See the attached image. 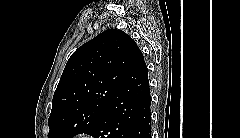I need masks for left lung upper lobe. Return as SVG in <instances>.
<instances>
[{
  "mask_svg": "<svg viewBox=\"0 0 240 138\" xmlns=\"http://www.w3.org/2000/svg\"><path fill=\"white\" fill-rule=\"evenodd\" d=\"M140 53L135 41L108 29L69 58L52 100L48 138L91 134Z\"/></svg>",
  "mask_w": 240,
  "mask_h": 138,
  "instance_id": "5c2ea615",
  "label": "left lung upper lobe"
}]
</instances>
